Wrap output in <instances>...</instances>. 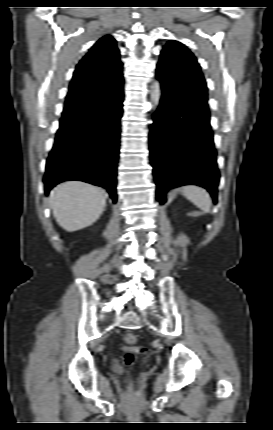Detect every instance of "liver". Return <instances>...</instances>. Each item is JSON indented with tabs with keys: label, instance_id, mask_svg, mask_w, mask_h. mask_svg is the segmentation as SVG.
<instances>
[{
	"label": "liver",
	"instance_id": "1",
	"mask_svg": "<svg viewBox=\"0 0 273 430\" xmlns=\"http://www.w3.org/2000/svg\"><path fill=\"white\" fill-rule=\"evenodd\" d=\"M49 203L57 223L69 232L92 225L106 206L102 190L79 181L57 185L50 192Z\"/></svg>",
	"mask_w": 273,
	"mask_h": 430
}]
</instances>
